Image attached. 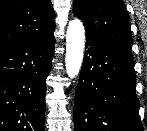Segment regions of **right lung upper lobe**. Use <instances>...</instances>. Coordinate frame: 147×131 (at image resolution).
<instances>
[{
	"mask_svg": "<svg viewBox=\"0 0 147 131\" xmlns=\"http://www.w3.org/2000/svg\"><path fill=\"white\" fill-rule=\"evenodd\" d=\"M51 0H0V52L54 32Z\"/></svg>",
	"mask_w": 147,
	"mask_h": 131,
	"instance_id": "cb5924a9",
	"label": "right lung upper lobe"
}]
</instances>
